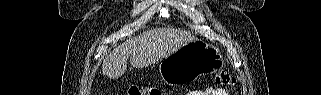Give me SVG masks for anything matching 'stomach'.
Segmentation results:
<instances>
[{
  "label": "stomach",
  "mask_w": 321,
  "mask_h": 95,
  "mask_svg": "<svg viewBox=\"0 0 321 95\" xmlns=\"http://www.w3.org/2000/svg\"><path fill=\"white\" fill-rule=\"evenodd\" d=\"M223 65L220 50L206 41L197 39L166 56L159 64V72L164 82L175 85L214 73Z\"/></svg>",
  "instance_id": "obj_1"
}]
</instances>
